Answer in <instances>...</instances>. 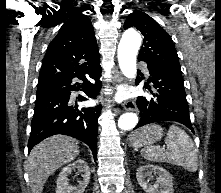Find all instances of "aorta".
Instances as JSON below:
<instances>
[{"mask_svg":"<svg viewBox=\"0 0 221 193\" xmlns=\"http://www.w3.org/2000/svg\"><path fill=\"white\" fill-rule=\"evenodd\" d=\"M141 36L134 29L127 30L118 46V62L119 67L129 79L135 77L136 69V57L141 45ZM138 123V116L135 113H125L120 116L118 120V127L122 130L133 129Z\"/></svg>","mask_w":221,"mask_h":193,"instance_id":"762f6f07","label":"aorta"}]
</instances>
